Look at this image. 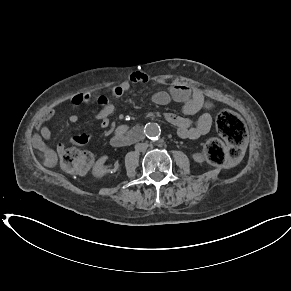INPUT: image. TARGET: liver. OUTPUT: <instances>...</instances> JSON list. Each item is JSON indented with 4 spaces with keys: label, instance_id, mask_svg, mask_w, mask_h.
Wrapping results in <instances>:
<instances>
[{
    "label": "liver",
    "instance_id": "liver-1",
    "mask_svg": "<svg viewBox=\"0 0 291 291\" xmlns=\"http://www.w3.org/2000/svg\"><path fill=\"white\" fill-rule=\"evenodd\" d=\"M44 159L48 164H54L56 162V154L53 150H45Z\"/></svg>",
    "mask_w": 291,
    "mask_h": 291
}]
</instances>
